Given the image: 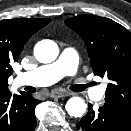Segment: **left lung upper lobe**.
I'll return each mask as SVG.
<instances>
[{
	"instance_id": "obj_1",
	"label": "left lung upper lobe",
	"mask_w": 131,
	"mask_h": 131,
	"mask_svg": "<svg viewBox=\"0 0 131 131\" xmlns=\"http://www.w3.org/2000/svg\"><path fill=\"white\" fill-rule=\"evenodd\" d=\"M65 24L84 40L94 74L109 79L105 103L131 115V33L94 15L72 17Z\"/></svg>"
}]
</instances>
